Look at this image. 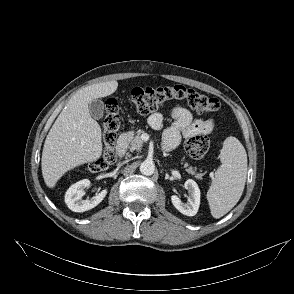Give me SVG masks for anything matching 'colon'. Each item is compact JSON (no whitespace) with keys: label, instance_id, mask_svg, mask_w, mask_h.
I'll list each match as a JSON object with an SVG mask.
<instances>
[{"label":"colon","instance_id":"1","mask_svg":"<svg viewBox=\"0 0 294 294\" xmlns=\"http://www.w3.org/2000/svg\"><path fill=\"white\" fill-rule=\"evenodd\" d=\"M130 102L143 115L152 113L172 100L185 101L191 108L200 113L213 112L220 108L217 98L207 96L194 89L182 85L159 87H136L132 89ZM121 120L118 103L111 99L106 105L103 120V150L101 156L89 165L90 172L105 170L115 160L114 145ZM210 141L206 136L189 137L185 142V149L193 159L203 158L209 151Z\"/></svg>","mask_w":294,"mask_h":294}]
</instances>
